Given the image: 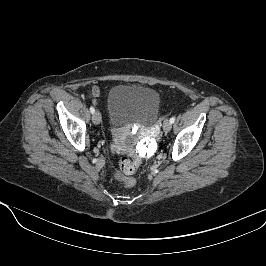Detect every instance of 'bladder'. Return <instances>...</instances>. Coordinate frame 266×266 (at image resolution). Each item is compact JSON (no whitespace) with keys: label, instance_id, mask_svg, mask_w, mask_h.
<instances>
[{"label":"bladder","instance_id":"31cf9c89","mask_svg":"<svg viewBox=\"0 0 266 266\" xmlns=\"http://www.w3.org/2000/svg\"><path fill=\"white\" fill-rule=\"evenodd\" d=\"M159 107V94L141 85H116L107 97L109 122L113 128L133 123L150 125L156 120Z\"/></svg>","mask_w":266,"mask_h":266}]
</instances>
